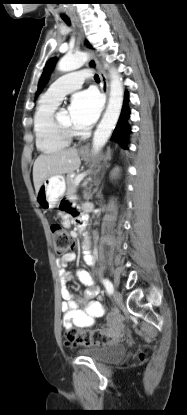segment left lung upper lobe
<instances>
[{
    "mask_svg": "<svg viewBox=\"0 0 187 415\" xmlns=\"http://www.w3.org/2000/svg\"><path fill=\"white\" fill-rule=\"evenodd\" d=\"M89 45V44H88ZM90 46V45H89ZM56 58H51L45 65L43 73L41 75V78L39 80L38 83V90L36 92V97L38 96V94L42 91L43 87L45 86V84L47 83L50 73L56 63Z\"/></svg>",
    "mask_w": 187,
    "mask_h": 415,
    "instance_id": "1",
    "label": "left lung upper lobe"
}]
</instances>
